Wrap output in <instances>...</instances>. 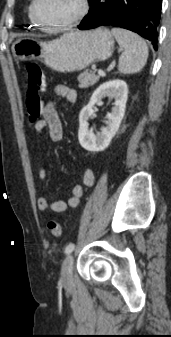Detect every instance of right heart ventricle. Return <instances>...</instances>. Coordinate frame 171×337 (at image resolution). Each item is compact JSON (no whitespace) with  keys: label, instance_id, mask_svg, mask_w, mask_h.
<instances>
[{"label":"right heart ventricle","instance_id":"1","mask_svg":"<svg viewBox=\"0 0 171 337\" xmlns=\"http://www.w3.org/2000/svg\"><path fill=\"white\" fill-rule=\"evenodd\" d=\"M27 16H28L29 26H31V27H39L38 24L32 18V15H31V4L28 6Z\"/></svg>","mask_w":171,"mask_h":337}]
</instances>
